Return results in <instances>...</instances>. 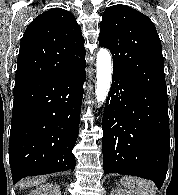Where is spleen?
Wrapping results in <instances>:
<instances>
[{
  "label": "spleen",
  "mask_w": 178,
  "mask_h": 195,
  "mask_svg": "<svg viewBox=\"0 0 178 195\" xmlns=\"http://www.w3.org/2000/svg\"><path fill=\"white\" fill-rule=\"evenodd\" d=\"M120 182L135 195H156L155 185L149 180L124 176L121 178Z\"/></svg>",
  "instance_id": "1"
}]
</instances>
